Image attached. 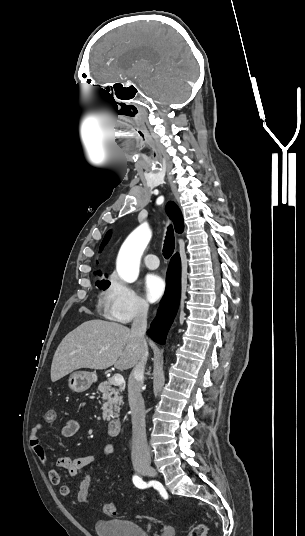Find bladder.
Returning <instances> with one entry per match:
<instances>
[{
    "instance_id": "31cf9c89",
    "label": "bladder",
    "mask_w": 305,
    "mask_h": 536,
    "mask_svg": "<svg viewBox=\"0 0 305 536\" xmlns=\"http://www.w3.org/2000/svg\"><path fill=\"white\" fill-rule=\"evenodd\" d=\"M93 530L96 536H152L138 522L125 518L97 519Z\"/></svg>"
}]
</instances>
